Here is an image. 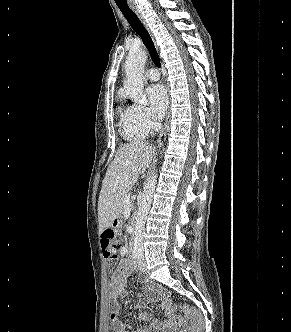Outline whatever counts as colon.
I'll return each mask as SVG.
<instances>
[{"label": "colon", "mask_w": 291, "mask_h": 332, "mask_svg": "<svg viewBox=\"0 0 291 332\" xmlns=\"http://www.w3.org/2000/svg\"><path fill=\"white\" fill-rule=\"evenodd\" d=\"M101 245L103 248V254L105 258L113 260L117 258V251L120 247L119 241L117 240L116 234L112 229L105 230L101 235ZM168 307L174 311L175 307L172 303L168 302ZM183 313L187 317L186 332H202L203 330V319L201 313L194 307L181 304L179 305Z\"/></svg>", "instance_id": "obj_1"}]
</instances>
